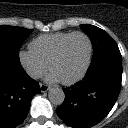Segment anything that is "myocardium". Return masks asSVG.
I'll use <instances>...</instances> for the list:
<instances>
[{
  "instance_id": "obj_1",
  "label": "myocardium",
  "mask_w": 128,
  "mask_h": 128,
  "mask_svg": "<svg viewBox=\"0 0 128 128\" xmlns=\"http://www.w3.org/2000/svg\"><path fill=\"white\" fill-rule=\"evenodd\" d=\"M74 36H83L86 40H87V43H88V55H87V59H86V62L82 68V70L75 76L73 77L72 79H69V80H60V82L63 84V85H73L75 83H77L78 81H80L84 76L85 74L87 73L89 67H90V64H91V61H92V55H93V43H92V40L91 38L89 37L88 34H86L85 32H82V31H75V32H72L69 36H67L59 45V47L57 48L54 56L52 57V59L50 60L48 66H49V70L52 72V68L53 66L56 64V62L60 59V57L62 56V53H63V50H64V47L65 45L67 44V42Z\"/></svg>"
}]
</instances>
